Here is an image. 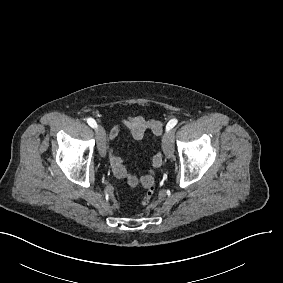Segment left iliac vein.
<instances>
[{
  "label": "left iliac vein",
  "instance_id": "4c4485c4",
  "mask_svg": "<svg viewBox=\"0 0 283 283\" xmlns=\"http://www.w3.org/2000/svg\"><path fill=\"white\" fill-rule=\"evenodd\" d=\"M162 148L166 157L171 159L174 153V137L171 132H166L162 136Z\"/></svg>",
  "mask_w": 283,
  "mask_h": 283
}]
</instances>
